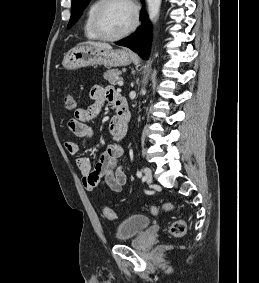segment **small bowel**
<instances>
[{
    "instance_id": "small-bowel-1",
    "label": "small bowel",
    "mask_w": 259,
    "mask_h": 283,
    "mask_svg": "<svg viewBox=\"0 0 259 283\" xmlns=\"http://www.w3.org/2000/svg\"><path fill=\"white\" fill-rule=\"evenodd\" d=\"M118 97L119 95L112 87L94 86L90 91L91 105L76 109L74 117L68 121L69 130L79 138L89 139L93 134L89 123L97 117L105 103L116 106ZM109 131L113 137V143L99 155L95 167L87 157L80 156L76 159L83 185L89 191L104 185L114 192H121L127 183L125 167L121 164L124 157L121 141L125 136L126 128L118 127L113 117L109 123ZM65 149L72 156L78 155L80 151L79 145L74 141H67Z\"/></svg>"
}]
</instances>
